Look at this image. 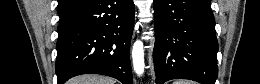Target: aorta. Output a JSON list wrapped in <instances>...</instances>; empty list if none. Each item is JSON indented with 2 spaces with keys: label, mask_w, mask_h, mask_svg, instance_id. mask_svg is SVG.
<instances>
[{
  "label": "aorta",
  "mask_w": 260,
  "mask_h": 84,
  "mask_svg": "<svg viewBox=\"0 0 260 84\" xmlns=\"http://www.w3.org/2000/svg\"><path fill=\"white\" fill-rule=\"evenodd\" d=\"M132 60L134 71L140 75L144 72L145 62H144V47L140 40H137L132 49Z\"/></svg>",
  "instance_id": "762f6f07"
}]
</instances>
